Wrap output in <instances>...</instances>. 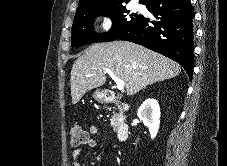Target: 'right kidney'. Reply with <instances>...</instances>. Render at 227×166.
Listing matches in <instances>:
<instances>
[{
	"instance_id": "obj_1",
	"label": "right kidney",
	"mask_w": 227,
	"mask_h": 166,
	"mask_svg": "<svg viewBox=\"0 0 227 166\" xmlns=\"http://www.w3.org/2000/svg\"><path fill=\"white\" fill-rule=\"evenodd\" d=\"M139 119L148 127L151 139H154L158 133L160 125V107L155 99L145 100L137 113Z\"/></svg>"
}]
</instances>
